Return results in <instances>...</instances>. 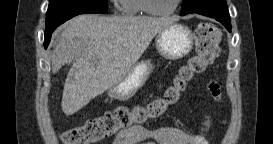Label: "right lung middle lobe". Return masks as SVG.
Wrapping results in <instances>:
<instances>
[{
	"label": "right lung middle lobe",
	"instance_id": "obj_1",
	"mask_svg": "<svg viewBox=\"0 0 273 144\" xmlns=\"http://www.w3.org/2000/svg\"><path fill=\"white\" fill-rule=\"evenodd\" d=\"M90 9L97 13H106L107 0H50L46 13V28L52 26L54 20L61 15L76 11Z\"/></svg>",
	"mask_w": 273,
	"mask_h": 144
}]
</instances>
